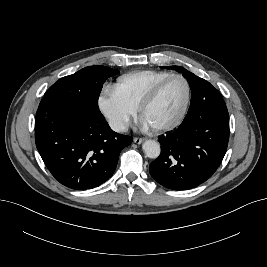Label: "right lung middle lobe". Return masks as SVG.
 Masks as SVG:
<instances>
[{"label": "right lung middle lobe", "instance_id": "obj_1", "mask_svg": "<svg viewBox=\"0 0 267 267\" xmlns=\"http://www.w3.org/2000/svg\"><path fill=\"white\" fill-rule=\"evenodd\" d=\"M119 71L104 67L90 66L55 82L44 94V98L57 99L82 109L100 113L98 98L107 78Z\"/></svg>", "mask_w": 267, "mask_h": 267}]
</instances>
